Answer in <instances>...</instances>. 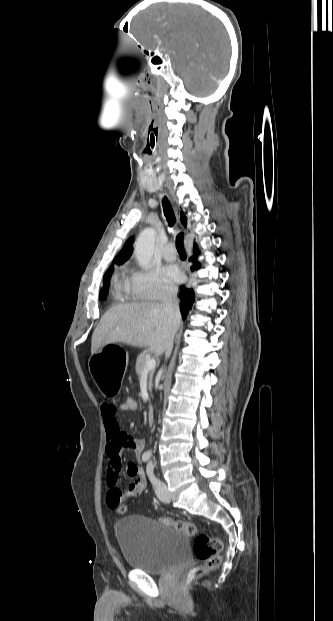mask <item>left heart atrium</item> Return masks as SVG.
<instances>
[{
	"label": "left heart atrium",
	"mask_w": 333,
	"mask_h": 621,
	"mask_svg": "<svg viewBox=\"0 0 333 621\" xmlns=\"http://www.w3.org/2000/svg\"><path fill=\"white\" fill-rule=\"evenodd\" d=\"M164 276L170 282H180L182 274L176 265H167L163 270Z\"/></svg>",
	"instance_id": "left-heart-atrium-1"
}]
</instances>
